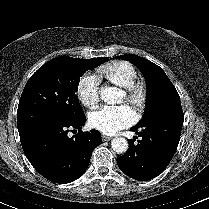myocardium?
<instances>
[{
    "label": "myocardium",
    "mask_w": 209,
    "mask_h": 209,
    "mask_svg": "<svg viewBox=\"0 0 209 209\" xmlns=\"http://www.w3.org/2000/svg\"><path fill=\"white\" fill-rule=\"evenodd\" d=\"M126 100L141 112L146 103L147 90L145 85L140 81H133L127 87H124Z\"/></svg>",
    "instance_id": "myocardium-1"
}]
</instances>
